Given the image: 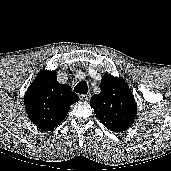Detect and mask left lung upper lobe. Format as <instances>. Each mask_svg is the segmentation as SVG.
<instances>
[{"label": "left lung upper lobe", "mask_w": 171, "mask_h": 171, "mask_svg": "<svg viewBox=\"0 0 171 171\" xmlns=\"http://www.w3.org/2000/svg\"><path fill=\"white\" fill-rule=\"evenodd\" d=\"M100 87V94L90 100L96 116L111 131L127 130L136 116V102L128 85L122 78L105 74Z\"/></svg>", "instance_id": "obj_1"}]
</instances>
